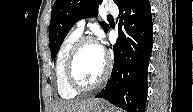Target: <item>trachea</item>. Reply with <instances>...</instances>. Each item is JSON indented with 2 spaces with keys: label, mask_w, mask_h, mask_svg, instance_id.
<instances>
[{
  "label": "trachea",
  "mask_w": 193,
  "mask_h": 112,
  "mask_svg": "<svg viewBox=\"0 0 193 112\" xmlns=\"http://www.w3.org/2000/svg\"><path fill=\"white\" fill-rule=\"evenodd\" d=\"M108 18H112V16H111V15H108Z\"/></svg>",
  "instance_id": "trachea-1"
}]
</instances>
